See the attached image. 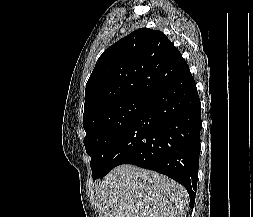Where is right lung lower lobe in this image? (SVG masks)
<instances>
[{"label":"right lung lower lobe","mask_w":253,"mask_h":217,"mask_svg":"<svg viewBox=\"0 0 253 217\" xmlns=\"http://www.w3.org/2000/svg\"><path fill=\"white\" fill-rule=\"evenodd\" d=\"M201 126L200 99L186 65L172 81L148 98L112 149L99 178L121 164L154 170L182 184L193 208Z\"/></svg>","instance_id":"right-lung-lower-lobe-1"}]
</instances>
